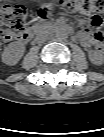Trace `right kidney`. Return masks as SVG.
I'll return each instance as SVG.
<instances>
[{"instance_id":"right-kidney-1","label":"right kidney","mask_w":104,"mask_h":137,"mask_svg":"<svg viewBox=\"0 0 104 137\" xmlns=\"http://www.w3.org/2000/svg\"><path fill=\"white\" fill-rule=\"evenodd\" d=\"M25 52V47L21 42H12L4 49L1 59L7 65H15L19 62Z\"/></svg>"}]
</instances>
